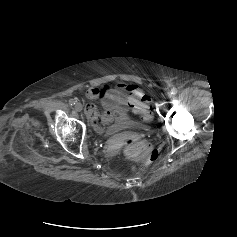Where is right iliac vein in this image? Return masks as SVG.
Returning <instances> with one entry per match:
<instances>
[{"label":"right iliac vein","mask_w":237,"mask_h":237,"mask_svg":"<svg viewBox=\"0 0 237 237\" xmlns=\"http://www.w3.org/2000/svg\"><path fill=\"white\" fill-rule=\"evenodd\" d=\"M75 109L77 110V111H82V109H83V106H82V104L80 103V102H77L76 104H75Z\"/></svg>","instance_id":"1"}]
</instances>
